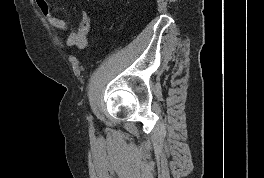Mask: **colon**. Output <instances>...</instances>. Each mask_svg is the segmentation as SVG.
Returning a JSON list of instances; mask_svg holds the SVG:
<instances>
[{
    "label": "colon",
    "instance_id": "colon-1",
    "mask_svg": "<svg viewBox=\"0 0 264 178\" xmlns=\"http://www.w3.org/2000/svg\"><path fill=\"white\" fill-rule=\"evenodd\" d=\"M91 17L87 11L82 12L81 21L77 31L71 32L67 44L71 47L84 48L89 42Z\"/></svg>",
    "mask_w": 264,
    "mask_h": 178
}]
</instances>
